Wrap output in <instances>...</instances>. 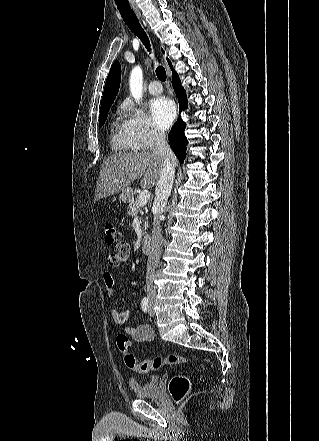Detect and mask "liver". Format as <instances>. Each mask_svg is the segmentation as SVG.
<instances>
[{"instance_id":"6515ba94","label":"liver","mask_w":319,"mask_h":441,"mask_svg":"<svg viewBox=\"0 0 319 441\" xmlns=\"http://www.w3.org/2000/svg\"><path fill=\"white\" fill-rule=\"evenodd\" d=\"M161 170V160L149 152L112 155L100 169L95 200L128 189L135 179L142 176L141 187L152 188L157 185Z\"/></svg>"}]
</instances>
